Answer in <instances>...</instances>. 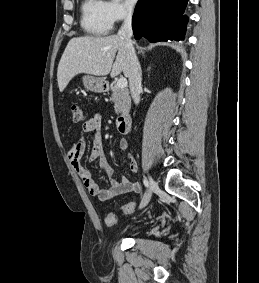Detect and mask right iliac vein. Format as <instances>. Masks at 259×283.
Here are the masks:
<instances>
[{
  "label": "right iliac vein",
  "mask_w": 259,
  "mask_h": 283,
  "mask_svg": "<svg viewBox=\"0 0 259 283\" xmlns=\"http://www.w3.org/2000/svg\"><path fill=\"white\" fill-rule=\"evenodd\" d=\"M149 182H150V186L140 203V209L144 208L149 203L151 199L152 191L156 186V183L151 176H149Z\"/></svg>",
  "instance_id": "obj_1"
}]
</instances>
